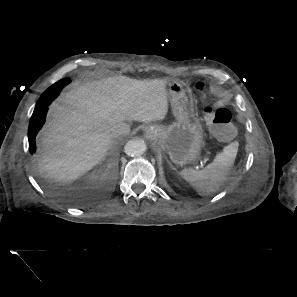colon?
Instances as JSON below:
<instances>
[{"label": "colon", "instance_id": "colon-1", "mask_svg": "<svg viewBox=\"0 0 297 297\" xmlns=\"http://www.w3.org/2000/svg\"><path fill=\"white\" fill-rule=\"evenodd\" d=\"M197 92L203 94L205 84L201 81L195 83ZM205 116L209 122L212 133L221 140L231 139L234 135L235 128L231 122V113L227 108H206Z\"/></svg>", "mask_w": 297, "mask_h": 297}]
</instances>
